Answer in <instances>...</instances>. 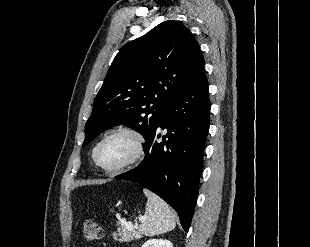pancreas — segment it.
Instances as JSON below:
<instances>
[{
  "mask_svg": "<svg viewBox=\"0 0 310 247\" xmlns=\"http://www.w3.org/2000/svg\"><path fill=\"white\" fill-rule=\"evenodd\" d=\"M113 238L120 242H130L134 239L141 238V235L135 230H128L127 228L122 226L121 228H118V233H113Z\"/></svg>",
  "mask_w": 310,
  "mask_h": 247,
  "instance_id": "1",
  "label": "pancreas"
}]
</instances>
